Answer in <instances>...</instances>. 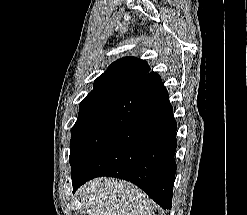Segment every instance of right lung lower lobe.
<instances>
[{
    "label": "right lung lower lobe",
    "mask_w": 247,
    "mask_h": 215,
    "mask_svg": "<svg viewBox=\"0 0 247 215\" xmlns=\"http://www.w3.org/2000/svg\"><path fill=\"white\" fill-rule=\"evenodd\" d=\"M177 123L160 76L151 72L87 132L71 164L73 193L111 176L136 184L163 209L172 206Z\"/></svg>",
    "instance_id": "98d812e1"
}]
</instances>
